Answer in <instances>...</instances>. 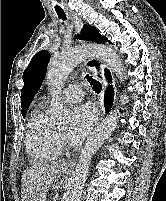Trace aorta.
Segmentation results:
<instances>
[{
	"mask_svg": "<svg viewBox=\"0 0 166 201\" xmlns=\"http://www.w3.org/2000/svg\"><path fill=\"white\" fill-rule=\"evenodd\" d=\"M92 56L101 57L116 76L122 80L124 75L122 60L120 56L108 46L86 45L75 47L54 56L48 64L47 71V82L53 97L49 108V114L54 121L65 122L68 120V111L59 100L60 92L74 67L87 57ZM118 114V110L111 111L102 124L88 138L72 174L64 201H80L93 155L112 135L117 125Z\"/></svg>",
	"mask_w": 166,
	"mask_h": 201,
	"instance_id": "762f6f07",
	"label": "aorta"
}]
</instances>
